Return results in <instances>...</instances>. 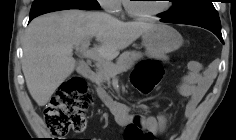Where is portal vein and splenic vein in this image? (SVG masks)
<instances>
[{
	"label": "portal vein and splenic vein",
	"instance_id": "portal-vein-and-splenic-vein-1",
	"mask_svg": "<svg viewBox=\"0 0 236 140\" xmlns=\"http://www.w3.org/2000/svg\"><path fill=\"white\" fill-rule=\"evenodd\" d=\"M76 48L85 58L99 61L100 63L106 61L96 50L89 49V41H86L82 46L76 45ZM117 73L118 72L116 71L114 75H116Z\"/></svg>",
	"mask_w": 236,
	"mask_h": 140
}]
</instances>
